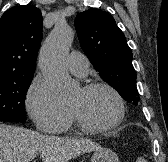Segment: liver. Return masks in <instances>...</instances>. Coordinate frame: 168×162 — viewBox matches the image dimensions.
Returning <instances> with one entry per match:
<instances>
[{"instance_id": "liver-1", "label": "liver", "mask_w": 168, "mask_h": 162, "mask_svg": "<svg viewBox=\"0 0 168 162\" xmlns=\"http://www.w3.org/2000/svg\"><path fill=\"white\" fill-rule=\"evenodd\" d=\"M101 148L88 139L47 136L22 127L0 124V162H30L38 154L42 162H68Z\"/></svg>"}]
</instances>
